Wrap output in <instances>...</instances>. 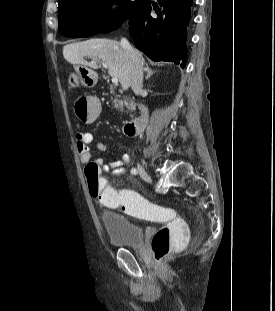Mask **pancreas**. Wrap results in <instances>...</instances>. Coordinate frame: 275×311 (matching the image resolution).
I'll return each mask as SVG.
<instances>
[{
	"instance_id": "cf45deb5",
	"label": "pancreas",
	"mask_w": 275,
	"mask_h": 311,
	"mask_svg": "<svg viewBox=\"0 0 275 311\" xmlns=\"http://www.w3.org/2000/svg\"><path fill=\"white\" fill-rule=\"evenodd\" d=\"M114 105L116 108H119L121 111L123 110V106L124 105H128V101L127 100H119L118 96L114 99Z\"/></svg>"
}]
</instances>
